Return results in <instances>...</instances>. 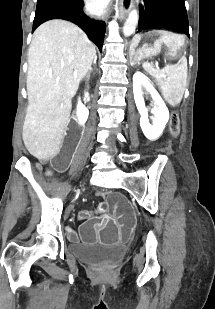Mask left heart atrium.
I'll return each mask as SVG.
<instances>
[{"mask_svg": "<svg viewBox=\"0 0 215 309\" xmlns=\"http://www.w3.org/2000/svg\"><path fill=\"white\" fill-rule=\"evenodd\" d=\"M90 5L93 12H104L105 10H107V7L101 5L100 0H91Z\"/></svg>", "mask_w": 215, "mask_h": 309, "instance_id": "1", "label": "left heart atrium"}]
</instances>
